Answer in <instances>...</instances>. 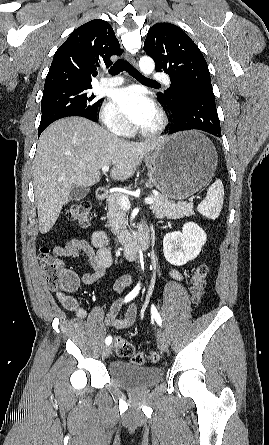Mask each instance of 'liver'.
Wrapping results in <instances>:
<instances>
[{
	"instance_id": "6515ba94",
	"label": "liver",
	"mask_w": 269,
	"mask_h": 445,
	"mask_svg": "<svg viewBox=\"0 0 269 445\" xmlns=\"http://www.w3.org/2000/svg\"><path fill=\"white\" fill-rule=\"evenodd\" d=\"M166 139L129 142L82 117L51 124L39 138L33 168L40 233L54 226L75 185L98 183L105 165H113L110 176L114 180L129 179L142 159Z\"/></svg>"
}]
</instances>
